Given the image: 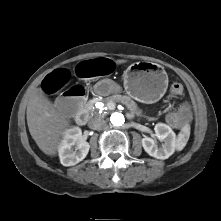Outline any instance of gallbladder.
Returning a JSON list of instances; mask_svg holds the SVG:
<instances>
[{
  "mask_svg": "<svg viewBox=\"0 0 221 221\" xmlns=\"http://www.w3.org/2000/svg\"><path fill=\"white\" fill-rule=\"evenodd\" d=\"M61 112H62V113H65V111H64V110H62Z\"/></svg>",
  "mask_w": 221,
  "mask_h": 221,
  "instance_id": "obj_1",
  "label": "gallbladder"
}]
</instances>
